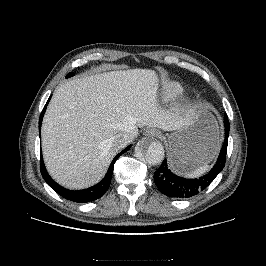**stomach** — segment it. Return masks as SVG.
Returning a JSON list of instances; mask_svg holds the SVG:
<instances>
[{
	"label": "stomach",
	"instance_id": "obj_1",
	"mask_svg": "<svg viewBox=\"0 0 266 266\" xmlns=\"http://www.w3.org/2000/svg\"><path fill=\"white\" fill-rule=\"evenodd\" d=\"M221 143L218 123L208 107L197 110L181 129L168 137L170 166L191 172L215 157Z\"/></svg>",
	"mask_w": 266,
	"mask_h": 266
}]
</instances>
